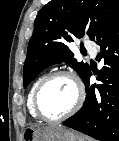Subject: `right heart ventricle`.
I'll return each instance as SVG.
<instances>
[{
	"instance_id": "1",
	"label": "right heart ventricle",
	"mask_w": 119,
	"mask_h": 141,
	"mask_svg": "<svg viewBox=\"0 0 119 141\" xmlns=\"http://www.w3.org/2000/svg\"><path fill=\"white\" fill-rule=\"evenodd\" d=\"M47 76V74H41L39 75L34 81L33 83L31 84L30 86V89H29V92H28V96H27V109L30 113V115L37 119V116L34 112V109H33V95H34V92H35V89L37 88V86L39 85V83Z\"/></svg>"
}]
</instances>
